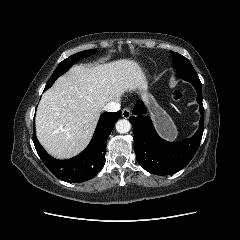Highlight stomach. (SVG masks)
I'll use <instances>...</instances> for the list:
<instances>
[{"instance_id":"1","label":"stomach","mask_w":240,"mask_h":240,"mask_svg":"<svg viewBox=\"0 0 240 240\" xmlns=\"http://www.w3.org/2000/svg\"><path fill=\"white\" fill-rule=\"evenodd\" d=\"M148 105L158 132L165 138L173 140L177 137V129L171 118L148 96Z\"/></svg>"}]
</instances>
